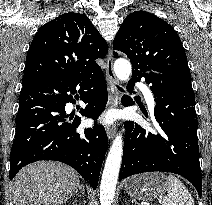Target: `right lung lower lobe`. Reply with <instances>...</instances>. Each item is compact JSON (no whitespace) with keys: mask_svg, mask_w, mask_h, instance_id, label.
<instances>
[{"mask_svg":"<svg viewBox=\"0 0 212 205\" xmlns=\"http://www.w3.org/2000/svg\"><path fill=\"white\" fill-rule=\"evenodd\" d=\"M76 89L86 103L85 109L80 110L81 115L96 120L107 103V85L102 70L23 85L11 149L10 180L27 164L56 160L76 169L96 189L108 138L104 127L97 124L77 133L79 116L74 117L77 122H64L67 117L65 105L75 103L72 94Z\"/></svg>","mask_w":212,"mask_h":205,"instance_id":"1","label":"right lung lower lobe"}]
</instances>
